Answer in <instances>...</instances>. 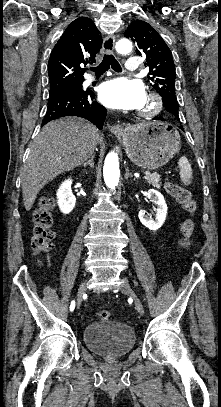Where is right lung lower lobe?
I'll use <instances>...</instances> for the list:
<instances>
[{"instance_id": "98d812e1", "label": "right lung lower lobe", "mask_w": 221, "mask_h": 407, "mask_svg": "<svg viewBox=\"0 0 221 407\" xmlns=\"http://www.w3.org/2000/svg\"><path fill=\"white\" fill-rule=\"evenodd\" d=\"M94 93L81 87H66L49 93L48 107L42 126L64 116L83 117L102 129L107 114L94 100Z\"/></svg>"}]
</instances>
